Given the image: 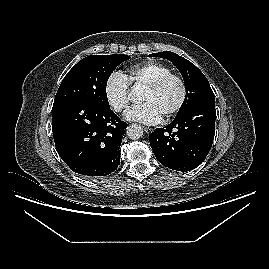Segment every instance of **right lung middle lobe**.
<instances>
[{"mask_svg": "<svg viewBox=\"0 0 269 269\" xmlns=\"http://www.w3.org/2000/svg\"><path fill=\"white\" fill-rule=\"evenodd\" d=\"M130 56L91 55L79 61L63 79L54 102L78 100L109 107L106 84L113 70Z\"/></svg>", "mask_w": 269, "mask_h": 269, "instance_id": "right-lung-middle-lobe-1", "label": "right lung middle lobe"}]
</instances>
